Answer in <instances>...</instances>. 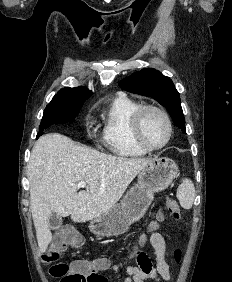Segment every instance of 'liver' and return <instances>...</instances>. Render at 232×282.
Masks as SVG:
<instances>
[{
  "mask_svg": "<svg viewBox=\"0 0 232 282\" xmlns=\"http://www.w3.org/2000/svg\"><path fill=\"white\" fill-rule=\"evenodd\" d=\"M103 154L77 145L70 138L49 133L35 143L28 164L30 210L41 253L52 240L51 214L86 222L111 209L136 177L151 162ZM85 182L86 191L77 183Z\"/></svg>",
  "mask_w": 232,
  "mask_h": 282,
  "instance_id": "1",
  "label": "liver"
}]
</instances>
